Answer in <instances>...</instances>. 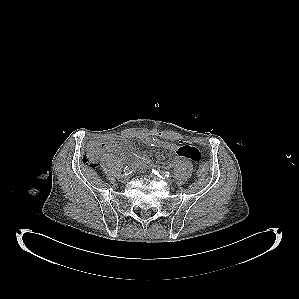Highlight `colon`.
<instances>
[{
  "label": "colon",
  "mask_w": 299,
  "mask_h": 299,
  "mask_svg": "<svg viewBox=\"0 0 299 299\" xmlns=\"http://www.w3.org/2000/svg\"><path fill=\"white\" fill-rule=\"evenodd\" d=\"M104 149V143L101 141H93L88 145L86 153L83 157V163L90 167L99 166V156ZM208 173V167L205 163H201L197 170L199 177H206Z\"/></svg>",
  "instance_id": "colon-1"
}]
</instances>
